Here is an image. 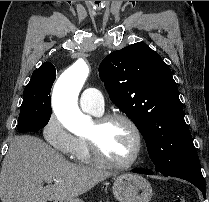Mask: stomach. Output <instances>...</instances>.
I'll return each mask as SVG.
<instances>
[{
  "label": "stomach",
  "mask_w": 209,
  "mask_h": 202,
  "mask_svg": "<svg viewBox=\"0 0 209 202\" xmlns=\"http://www.w3.org/2000/svg\"><path fill=\"white\" fill-rule=\"evenodd\" d=\"M113 195L119 202H150L153 190L142 176L122 174L114 179ZM55 202H83L79 198L60 199Z\"/></svg>",
  "instance_id": "0dacf381"
}]
</instances>
